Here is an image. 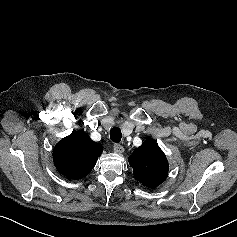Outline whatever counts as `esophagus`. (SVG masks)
Returning a JSON list of instances; mask_svg holds the SVG:
<instances>
[{
    "instance_id": "1",
    "label": "esophagus",
    "mask_w": 237,
    "mask_h": 237,
    "mask_svg": "<svg viewBox=\"0 0 237 237\" xmlns=\"http://www.w3.org/2000/svg\"><path fill=\"white\" fill-rule=\"evenodd\" d=\"M113 149H114V152L118 154H122L124 152V147L118 143H114Z\"/></svg>"
}]
</instances>
